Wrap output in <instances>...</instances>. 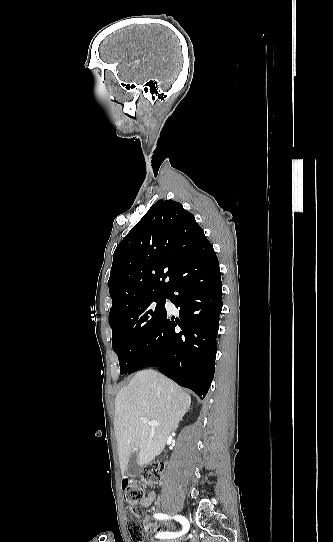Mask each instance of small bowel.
<instances>
[{"instance_id": "small-bowel-1", "label": "small bowel", "mask_w": 333, "mask_h": 542, "mask_svg": "<svg viewBox=\"0 0 333 542\" xmlns=\"http://www.w3.org/2000/svg\"><path fill=\"white\" fill-rule=\"evenodd\" d=\"M155 501V493L154 491H150L145 498L141 501L140 506L143 508L150 507L153 502ZM145 531L153 532V533H161L164 530L168 529V524H151L150 522L145 523Z\"/></svg>"}]
</instances>
